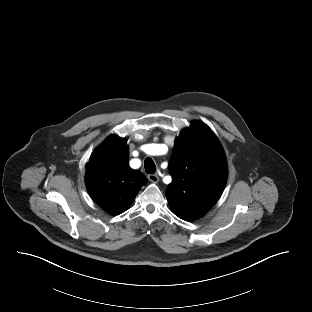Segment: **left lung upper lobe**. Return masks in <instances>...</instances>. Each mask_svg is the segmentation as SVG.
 <instances>
[{"mask_svg":"<svg viewBox=\"0 0 312 312\" xmlns=\"http://www.w3.org/2000/svg\"><path fill=\"white\" fill-rule=\"evenodd\" d=\"M169 169L173 177L166 190L169 205L187 221L200 218L216 203L227 180L223 148L200 121H194L175 140Z\"/></svg>","mask_w":312,"mask_h":312,"instance_id":"obj_1","label":"left lung upper lobe"}]
</instances>
